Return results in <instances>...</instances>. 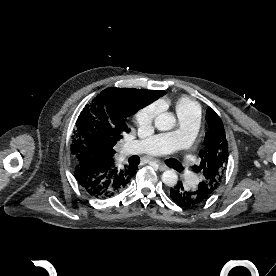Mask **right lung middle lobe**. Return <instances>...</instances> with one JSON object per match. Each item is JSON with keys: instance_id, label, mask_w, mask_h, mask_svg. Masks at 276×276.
<instances>
[{"instance_id": "dd1d6c3e", "label": "right lung middle lobe", "mask_w": 276, "mask_h": 276, "mask_svg": "<svg viewBox=\"0 0 276 276\" xmlns=\"http://www.w3.org/2000/svg\"><path fill=\"white\" fill-rule=\"evenodd\" d=\"M132 114L112 95L101 92L91 100L76 121L71 144L73 163L78 156L97 153L128 130L125 122Z\"/></svg>"}]
</instances>
